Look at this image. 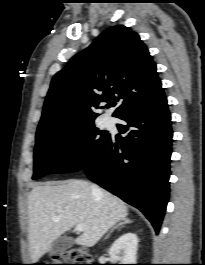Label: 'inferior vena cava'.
Masks as SVG:
<instances>
[{"label":"inferior vena cava","instance_id":"1","mask_svg":"<svg viewBox=\"0 0 205 265\" xmlns=\"http://www.w3.org/2000/svg\"><path fill=\"white\" fill-rule=\"evenodd\" d=\"M92 190H93L94 192H97V191H98V187H97L96 185H92Z\"/></svg>","mask_w":205,"mask_h":265}]
</instances>
